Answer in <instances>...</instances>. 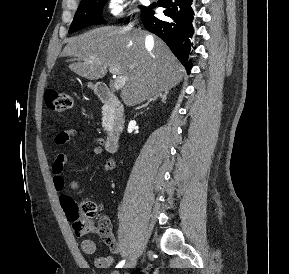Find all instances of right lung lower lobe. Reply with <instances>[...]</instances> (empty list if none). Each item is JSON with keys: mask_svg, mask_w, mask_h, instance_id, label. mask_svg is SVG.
Returning a JSON list of instances; mask_svg holds the SVG:
<instances>
[{"mask_svg": "<svg viewBox=\"0 0 289 274\" xmlns=\"http://www.w3.org/2000/svg\"><path fill=\"white\" fill-rule=\"evenodd\" d=\"M193 0H159L158 6L165 8L162 20L154 16L152 10L156 4H151L141 13L144 27L159 36L179 59L189 72L192 68L191 60H188L194 33L192 9Z\"/></svg>", "mask_w": 289, "mask_h": 274, "instance_id": "obj_1", "label": "right lung lower lobe"}]
</instances>
